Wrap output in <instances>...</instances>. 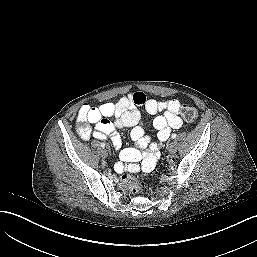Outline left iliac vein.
<instances>
[{
    "instance_id": "1",
    "label": "left iliac vein",
    "mask_w": 257,
    "mask_h": 257,
    "mask_svg": "<svg viewBox=\"0 0 257 257\" xmlns=\"http://www.w3.org/2000/svg\"><path fill=\"white\" fill-rule=\"evenodd\" d=\"M167 149L170 154H174L176 152V144L175 142H171L168 144Z\"/></svg>"
}]
</instances>
